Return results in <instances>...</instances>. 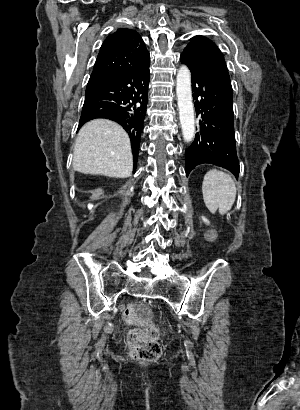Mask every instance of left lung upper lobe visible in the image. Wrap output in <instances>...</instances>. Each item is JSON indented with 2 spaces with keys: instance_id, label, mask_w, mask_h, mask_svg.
Instances as JSON below:
<instances>
[{
  "instance_id": "1",
  "label": "left lung upper lobe",
  "mask_w": 300,
  "mask_h": 410,
  "mask_svg": "<svg viewBox=\"0 0 300 410\" xmlns=\"http://www.w3.org/2000/svg\"><path fill=\"white\" fill-rule=\"evenodd\" d=\"M182 54L187 56L197 67L220 74L230 81L224 56L210 39L201 35L191 38Z\"/></svg>"
}]
</instances>
